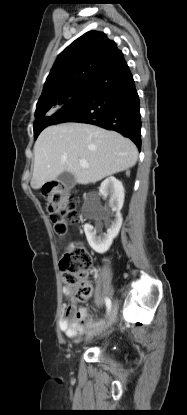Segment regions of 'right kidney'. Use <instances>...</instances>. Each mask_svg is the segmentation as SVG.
<instances>
[{
	"label": "right kidney",
	"instance_id": "obj_1",
	"mask_svg": "<svg viewBox=\"0 0 187 415\" xmlns=\"http://www.w3.org/2000/svg\"><path fill=\"white\" fill-rule=\"evenodd\" d=\"M99 193L104 198L107 196L110 197L109 207L112 212H115V219L107 230V233L103 235L97 236L96 230L90 224L84 225V231L91 248L97 253L103 254L110 248L113 239L117 237L122 225L123 219L120 210L124 203V188L121 181L115 177H109L101 183Z\"/></svg>",
	"mask_w": 187,
	"mask_h": 415
}]
</instances>
